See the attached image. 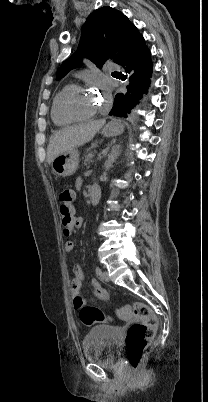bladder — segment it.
Returning <instances> with one entry per match:
<instances>
[{
	"instance_id": "obj_1",
	"label": "bladder",
	"mask_w": 208,
	"mask_h": 402,
	"mask_svg": "<svg viewBox=\"0 0 208 402\" xmlns=\"http://www.w3.org/2000/svg\"><path fill=\"white\" fill-rule=\"evenodd\" d=\"M120 336L115 327L95 325L86 335L83 343L84 358L107 366L115 362L120 347Z\"/></svg>"
}]
</instances>
